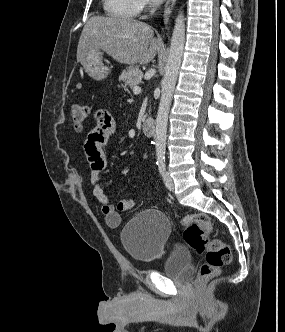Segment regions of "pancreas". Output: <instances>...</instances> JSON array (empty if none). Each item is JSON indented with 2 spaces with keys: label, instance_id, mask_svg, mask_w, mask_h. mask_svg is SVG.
<instances>
[{
  "label": "pancreas",
  "instance_id": "obj_1",
  "mask_svg": "<svg viewBox=\"0 0 285 332\" xmlns=\"http://www.w3.org/2000/svg\"><path fill=\"white\" fill-rule=\"evenodd\" d=\"M142 77L143 73L138 65L130 66L126 68L120 76V79L124 82L121 86L124 90H127V87L132 88L140 83Z\"/></svg>",
  "mask_w": 285,
  "mask_h": 332
}]
</instances>
